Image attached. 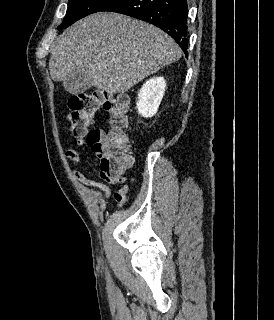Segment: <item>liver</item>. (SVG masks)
I'll return each mask as SVG.
<instances>
[{
    "mask_svg": "<svg viewBox=\"0 0 274 320\" xmlns=\"http://www.w3.org/2000/svg\"><path fill=\"white\" fill-rule=\"evenodd\" d=\"M174 40L141 20L97 12L67 28L51 46L49 70L76 94L84 80L108 94H125L141 80L180 60Z\"/></svg>",
    "mask_w": 274,
    "mask_h": 320,
    "instance_id": "6515ba94",
    "label": "liver"
}]
</instances>
